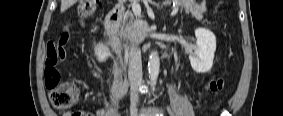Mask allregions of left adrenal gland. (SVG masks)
<instances>
[{
    "instance_id": "left-adrenal-gland-1",
    "label": "left adrenal gland",
    "mask_w": 283,
    "mask_h": 116,
    "mask_svg": "<svg viewBox=\"0 0 283 116\" xmlns=\"http://www.w3.org/2000/svg\"><path fill=\"white\" fill-rule=\"evenodd\" d=\"M177 24V20H176V22H175V24L174 25H176Z\"/></svg>"
}]
</instances>
